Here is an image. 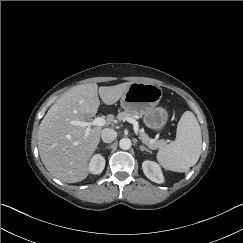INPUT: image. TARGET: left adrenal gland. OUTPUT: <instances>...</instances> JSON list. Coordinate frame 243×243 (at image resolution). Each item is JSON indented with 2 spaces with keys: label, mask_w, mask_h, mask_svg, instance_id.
<instances>
[{
  "label": "left adrenal gland",
  "mask_w": 243,
  "mask_h": 243,
  "mask_svg": "<svg viewBox=\"0 0 243 243\" xmlns=\"http://www.w3.org/2000/svg\"><path fill=\"white\" fill-rule=\"evenodd\" d=\"M139 149H140L141 151H146V152L151 153V151H150L149 149H147L146 147H144L143 145H140V146H139Z\"/></svg>",
  "instance_id": "left-adrenal-gland-1"
}]
</instances>
